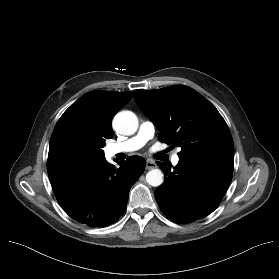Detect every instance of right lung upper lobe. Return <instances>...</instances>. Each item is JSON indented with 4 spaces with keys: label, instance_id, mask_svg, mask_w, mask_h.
<instances>
[{
    "label": "right lung upper lobe",
    "instance_id": "obj_1",
    "mask_svg": "<svg viewBox=\"0 0 279 279\" xmlns=\"http://www.w3.org/2000/svg\"><path fill=\"white\" fill-rule=\"evenodd\" d=\"M131 98L132 92L98 90L81 96L58 120L51 136L48 160L58 145L68 138L82 139L103 152L101 148L105 146V139L114 135L111 127L113 116Z\"/></svg>",
    "mask_w": 279,
    "mask_h": 279
}]
</instances>
